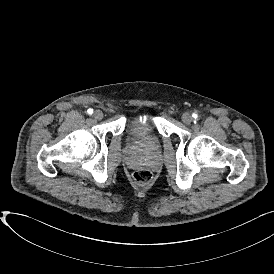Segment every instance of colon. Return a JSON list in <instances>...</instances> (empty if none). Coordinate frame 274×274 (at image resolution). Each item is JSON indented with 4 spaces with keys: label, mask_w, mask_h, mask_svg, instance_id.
I'll return each mask as SVG.
<instances>
[{
    "label": "colon",
    "mask_w": 274,
    "mask_h": 274,
    "mask_svg": "<svg viewBox=\"0 0 274 274\" xmlns=\"http://www.w3.org/2000/svg\"><path fill=\"white\" fill-rule=\"evenodd\" d=\"M153 180L152 172L148 168L137 169L133 173V181L140 186H146Z\"/></svg>",
    "instance_id": "obj_1"
}]
</instances>
